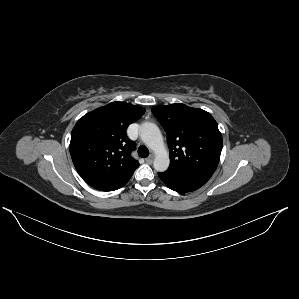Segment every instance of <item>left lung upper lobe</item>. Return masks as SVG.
<instances>
[{
	"label": "left lung upper lobe",
	"instance_id": "obj_1",
	"mask_svg": "<svg viewBox=\"0 0 299 299\" xmlns=\"http://www.w3.org/2000/svg\"><path fill=\"white\" fill-rule=\"evenodd\" d=\"M167 133L170 166L166 174L210 178L222 150V135L212 115L177 103L152 108Z\"/></svg>",
	"mask_w": 299,
	"mask_h": 299
}]
</instances>
